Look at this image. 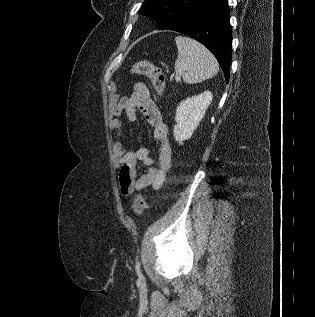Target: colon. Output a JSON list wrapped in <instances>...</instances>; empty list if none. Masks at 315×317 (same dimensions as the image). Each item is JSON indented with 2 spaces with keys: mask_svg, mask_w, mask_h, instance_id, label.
<instances>
[{
  "mask_svg": "<svg viewBox=\"0 0 315 317\" xmlns=\"http://www.w3.org/2000/svg\"><path fill=\"white\" fill-rule=\"evenodd\" d=\"M132 71L135 74L147 77L152 84L154 92L158 96L163 95L165 87V78L161 69L157 65L146 60H140L133 65ZM145 208V198L142 193L137 192L133 202V211L137 216H140L143 214Z\"/></svg>",
  "mask_w": 315,
  "mask_h": 317,
  "instance_id": "obj_1",
  "label": "colon"
}]
</instances>
